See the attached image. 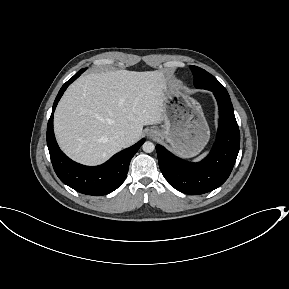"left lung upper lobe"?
<instances>
[{
    "label": "left lung upper lobe",
    "mask_w": 289,
    "mask_h": 289,
    "mask_svg": "<svg viewBox=\"0 0 289 289\" xmlns=\"http://www.w3.org/2000/svg\"><path fill=\"white\" fill-rule=\"evenodd\" d=\"M190 69L194 76V85L196 88L223 93L227 92L221 83L204 69L197 66H190Z\"/></svg>",
    "instance_id": "obj_1"
}]
</instances>
